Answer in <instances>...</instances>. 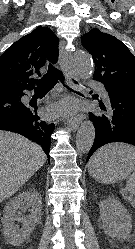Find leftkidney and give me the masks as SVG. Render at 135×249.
I'll return each mask as SVG.
<instances>
[{"label":"left kidney","mask_w":135,"mask_h":249,"mask_svg":"<svg viewBox=\"0 0 135 249\" xmlns=\"http://www.w3.org/2000/svg\"><path fill=\"white\" fill-rule=\"evenodd\" d=\"M100 220L106 234L121 241L130 237L131 217L126 208L114 197H108L99 204Z\"/></svg>","instance_id":"left-kidney-1"}]
</instances>
